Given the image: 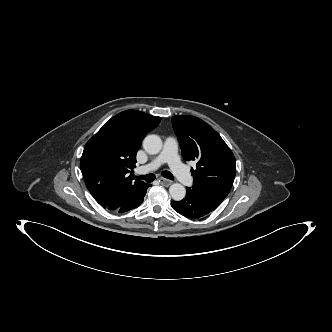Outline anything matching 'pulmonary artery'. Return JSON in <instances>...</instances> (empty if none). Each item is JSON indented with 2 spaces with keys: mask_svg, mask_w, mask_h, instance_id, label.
<instances>
[{
  "mask_svg": "<svg viewBox=\"0 0 332 332\" xmlns=\"http://www.w3.org/2000/svg\"><path fill=\"white\" fill-rule=\"evenodd\" d=\"M169 164L172 172L184 185H190L192 178L186 169V167L181 163L177 156V141L173 137H168L163 146L162 152L156 156L148 164L139 168L140 173H146L148 171H154L158 169L162 164Z\"/></svg>",
  "mask_w": 332,
  "mask_h": 332,
  "instance_id": "e3ab8cb5",
  "label": "pulmonary artery"
}]
</instances>
